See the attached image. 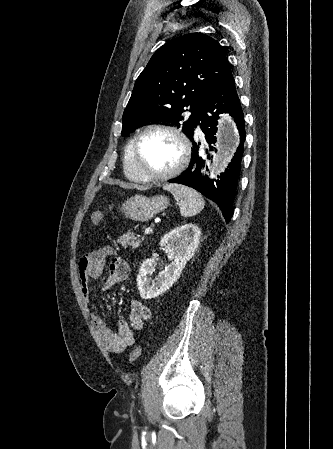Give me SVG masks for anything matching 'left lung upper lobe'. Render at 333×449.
Wrapping results in <instances>:
<instances>
[{"mask_svg":"<svg viewBox=\"0 0 333 449\" xmlns=\"http://www.w3.org/2000/svg\"><path fill=\"white\" fill-rule=\"evenodd\" d=\"M231 75L223 48L213 38L189 33L169 41L137 78L121 135L151 121H166L182 127L192 140L202 111Z\"/></svg>","mask_w":333,"mask_h":449,"instance_id":"left-lung-upper-lobe-1","label":"left lung upper lobe"}]
</instances>
